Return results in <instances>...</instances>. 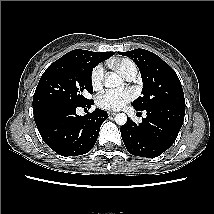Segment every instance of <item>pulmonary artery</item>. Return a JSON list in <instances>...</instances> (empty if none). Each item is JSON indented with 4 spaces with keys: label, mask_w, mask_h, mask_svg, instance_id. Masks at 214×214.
Here are the masks:
<instances>
[{
    "label": "pulmonary artery",
    "mask_w": 214,
    "mask_h": 214,
    "mask_svg": "<svg viewBox=\"0 0 214 214\" xmlns=\"http://www.w3.org/2000/svg\"><path fill=\"white\" fill-rule=\"evenodd\" d=\"M137 74V70H132L126 77L127 80H133L135 79Z\"/></svg>",
    "instance_id": "obj_1"
}]
</instances>
